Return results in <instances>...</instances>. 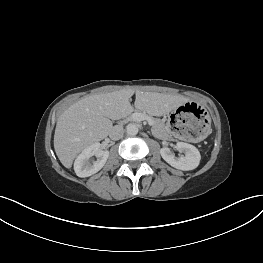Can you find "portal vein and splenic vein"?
Segmentation results:
<instances>
[{"instance_id": "portal-vein-and-splenic-vein-1", "label": "portal vein and splenic vein", "mask_w": 263, "mask_h": 263, "mask_svg": "<svg viewBox=\"0 0 263 263\" xmlns=\"http://www.w3.org/2000/svg\"><path fill=\"white\" fill-rule=\"evenodd\" d=\"M133 119L137 122L146 120L150 126L153 125V121L149 116H146L142 113H133Z\"/></svg>"}]
</instances>
